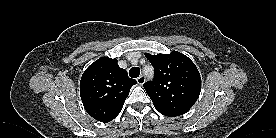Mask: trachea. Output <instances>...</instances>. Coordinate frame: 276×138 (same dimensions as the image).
<instances>
[{
	"label": "trachea",
	"instance_id": "trachea-1",
	"mask_svg": "<svg viewBox=\"0 0 276 138\" xmlns=\"http://www.w3.org/2000/svg\"><path fill=\"white\" fill-rule=\"evenodd\" d=\"M140 75V69L138 67H132L129 70V76L131 78H137Z\"/></svg>",
	"mask_w": 276,
	"mask_h": 138
}]
</instances>
